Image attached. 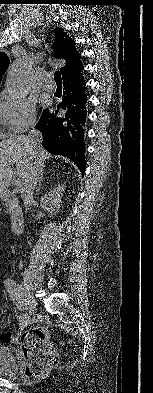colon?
I'll use <instances>...</instances> for the list:
<instances>
[{
  "label": "colon",
  "mask_w": 153,
  "mask_h": 393,
  "mask_svg": "<svg viewBox=\"0 0 153 393\" xmlns=\"http://www.w3.org/2000/svg\"><path fill=\"white\" fill-rule=\"evenodd\" d=\"M47 335L46 329L39 327L26 330L21 335L20 344L28 362L26 374L29 377H39L58 363V356Z\"/></svg>",
  "instance_id": "colon-1"
}]
</instances>
